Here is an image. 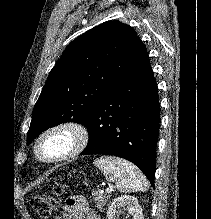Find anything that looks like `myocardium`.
I'll return each instance as SVG.
<instances>
[{
  "label": "myocardium",
  "instance_id": "myocardium-1",
  "mask_svg": "<svg viewBox=\"0 0 211 219\" xmlns=\"http://www.w3.org/2000/svg\"><path fill=\"white\" fill-rule=\"evenodd\" d=\"M52 136H66L67 148L53 157H45L41 153L42 144ZM90 134L87 127L74 120L61 121L45 128L34 140L32 156L42 165H56L70 161L80 155L88 146Z\"/></svg>",
  "mask_w": 211,
  "mask_h": 219
}]
</instances>
